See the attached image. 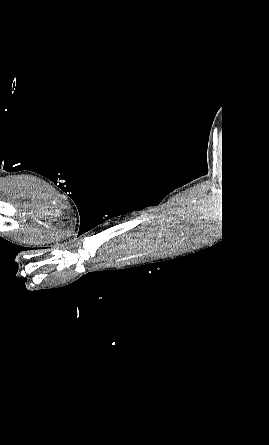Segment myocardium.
<instances>
[{
    "instance_id": "f54148a6",
    "label": "myocardium",
    "mask_w": 269,
    "mask_h": 445,
    "mask_svg": "<svg viewBox=\"0 0 269 445\" xmlns=\"http://www.w3.org/2000/svg\"><path fill=\"white\" fill-rule=\"evenodd\" d=\"M60 239H61L60 237H50V238L36 240V242H38V243H49V242H52V241H58Z\"/></svg>"
}]
</instances>
